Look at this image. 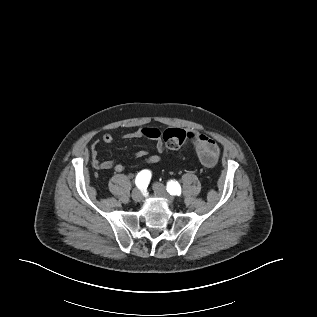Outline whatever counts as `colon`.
<instances>
[{
  "label": "colon",
  "instance_id": "obj_1",
  "mask_svg": "<svg viewBox=\"0 0 317 317\" xmlns=\"http://www.w3.org/2000/svg\"><path fill=\"white\" fill-rule=\"evenodd\" d=\"M160 135L167 150H178L193 138L192 133L178 128L166 129Z\"/></svg>",
  "mask_w": 317,
  "mask_h": 317
}]
</instances>
